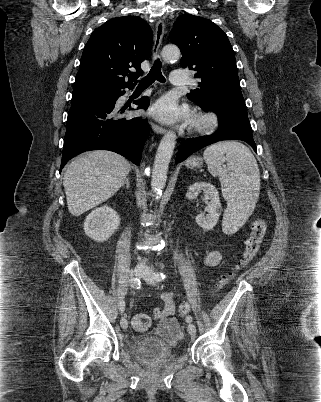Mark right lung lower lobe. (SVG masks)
<instances>
[{
    "label": "right lung lower lobe",
    "mask_w": 321,
    "mask_h": 402,
    "mask_svg": "<svg viewBox=\"0 0 321 402\" xmlns=\"http://www.w3.org/2000/svg\"><path fill=\"white\" fill-rule=\"evenodd\" d=\"M113 88L105 99L84 97L72 99L68 113L60 172L74 156L89 150H110L138 165L149 134L146 119L122 118L115 108L125 91ZM132 89L133 87H128ZM138 108L149 106L147 97L134 102Z\"/></svg>",
    "instance_id": "1"
}]
</instances>
